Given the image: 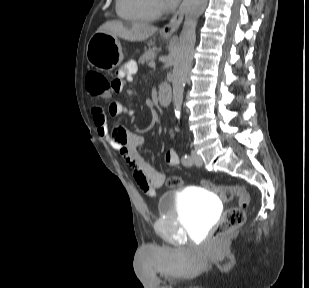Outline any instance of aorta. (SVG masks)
<instances>
[{
  "mask_svg": "<svg viewBox=\"0 0 309 288\" xmlns=\"http://www.w3.org/2000/svg\"><path fill=\"white\" fill-rule=\"evenodd\" d=\"M207 4L208 0H185L184 3L185 20L175 49L172 77L173 103L177 117L181 114L184 87L193 59L197 22Z\"/></svg>",
  "mask_w": 309,
  "mask_h": 288,
  "instance_id": "1",
  "label": "aorta"
}]
</instances>
